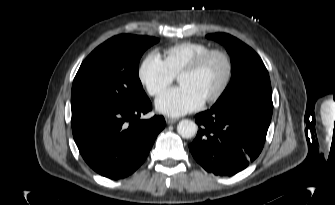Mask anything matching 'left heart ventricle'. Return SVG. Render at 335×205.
Here are the masks:
<instances>
[{"instance_id":"obj_1","label":"left heart ventricle","mask_w":335,"mask_h":205,"mask_svg":"<svg viewBox=\"0 0 335 205\" xmlns=\"http://www.w3.org/2000/svg\"><path fill=\"white\" fill-rule=\"evenodd\" d=\"M226 65L220 56L211 57L197 73L178 78L180 85L193 89L203 100L212 96L222 84Z\"/></svg>"}]
</instances>
